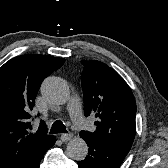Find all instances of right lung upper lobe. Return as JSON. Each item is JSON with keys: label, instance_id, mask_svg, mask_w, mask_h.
<instances>
[{"label": "right lung upper lobe", "instance_id": "1", "mask_svg": "<svg viewBox=\"0 0 168 168\" xmlns=\"http://www.w3.org/2000/svg\"><path fill=\"white\" fill-rule=\"evenodd\" d=\"M63 58L21 55L0 67V168H32L54 145L41 121L30 133L31 115L41 82L58 69Z\"/></svg>", "mask_w": 168, "mask_h": 168}]
</instances>
